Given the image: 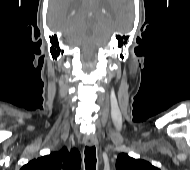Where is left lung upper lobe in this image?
Listing matches in <instances>:
<instances>
[{
	"instance_id": "obj_1",
	"label": "left lung upper lobe",
	"mask_w": 190,
	"mask_h": 170,
	"mask_svg": "<svg viewBox=\"0 0 190 170\" xmlns=\"http://www.w3.org/2000/svg\"><path fill=\"white\" fill-rule=\"evenodd\" d=\"M116 170H159L145 160L134 159L128 154L121 153L117 157Z\"/></svg>"
}]
</instances>
